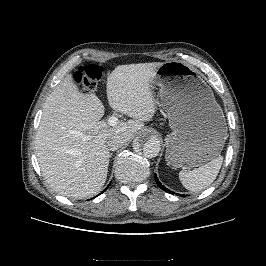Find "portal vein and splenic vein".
<instances>
[{"label": "portal vein and splenic vein", "mask_w": 266, "mask_h": 266, "mask_svg": "<svg viewBox=\"0 0 266 266\" xmlns=\"http://www.w3.org/2000/svg\"><path fill=\"white\" fill-rule=\"evenodd\" d=\"M117 122H118V118L116 116H114V115L109 117V119H108V124L111 125V126L115 125ZM72 133L77 135V136H80L82 138V140H84V141L88 140V136L83 135L80 132L73 131Z\"/></svg>", "instance_id": "portal-vein-and-splenic-vein-1"}]
</instances>
